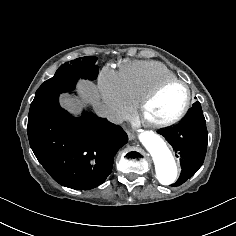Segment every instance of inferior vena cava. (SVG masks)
Returning <instances> with one entry per match:
<instances>
[{"mask_svg":"<svg viewBox=\"0 0 236 236\" xmlns=\"http://www.w3.org/2000/svg\"><path fill=\"white\" fill-rule=\"evenodd\" d=\"M94 111L96 112V114L100 117H105L108 118L110 121L114 122V116L115 114L113 113V111L109 108H106L100 104L95 105L94 106Z\"/></svg>","mask_w":236,"mask_h":236,"instance_id":"1","label":"inferior vena cava"}]
</instances>
